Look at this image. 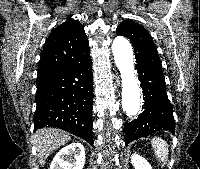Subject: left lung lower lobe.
Segmentation results:
<instances>
[{
	"label": "left lung lower lobe",
	"instance_id": "1",
	"mask_svg": "<svg viewBox=\"0 0 200 169\" xmlns=\"http://www.w3.org/2000/svg\"><path fill=\"white\" fill-rule=\"evenodd\" d=\"M136 69L145 96L144 111L131 123L124 124L126 145L156 131H169L172 134L175 131L173 107L166 94L162 70L141 61H137Z\"/></svg>",
	"mask_w": 200,
	"mask_h": 169
}]
</instances>
